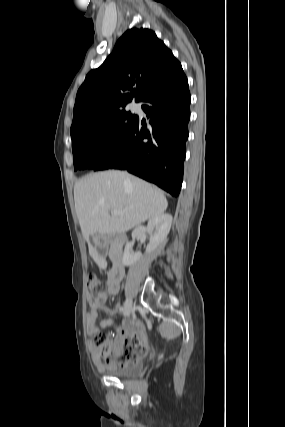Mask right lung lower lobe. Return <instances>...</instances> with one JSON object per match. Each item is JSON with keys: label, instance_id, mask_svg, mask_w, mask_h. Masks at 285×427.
<instances>
[{"label": "right lung lower lobe", "instance_id": "obj_1", "mask_svg": "<svg viewBox=\"0 0 285 427\" xmlns=\"http://www.w3.org/2000/svg\"><path fill=\"white\" fill-rule=\"evenodd\" d=\"M149 126L139 118L124 142L93 169H123L177 197L183 178L191 96L180 67L142 96ZM143 125V127L141 126Z\"/></svg>", "mask_w": 285, "mask_h": 427}]
</instances>
